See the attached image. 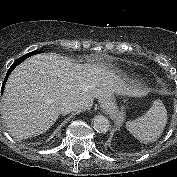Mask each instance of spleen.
Masks as SVG:
<instances>
[{"instance_id":"1","label":"spleen","mask_w":177,"mask_h":177,"mask_svg":"<svg viewBox=\"0 0 177 177\" xmlns=\"http://www.w3.org/2000/svg\"><path fill=\"white\" fill-rule=\"evenodd\" d=\"M166 122L167 110L158 99L144 115L126 122V127L139 141L148 143L156 141L162 135Z\"/></svg>"}]
</instances>
